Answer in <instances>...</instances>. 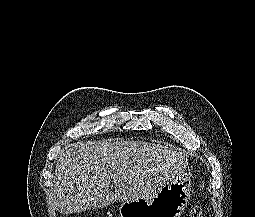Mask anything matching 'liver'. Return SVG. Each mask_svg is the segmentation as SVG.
Here are the masks:
<instances>
[{"instance_id": "obj_1", "label": "liver", "mask_w": 255, "mask_h": 217, "mask_svg": "<svg viewBox=\"0 0 255 217\" xmlns=\"http://www.w3.org/2000/svg\"><path fill=\"white\" fill-rule=\"evenodd\" d=\"M188 165L172 146L136 141H79L55 167L53 203L61 214L102 208L155 194ZM111 180L115 193L109 190Z\"/></svg>"}]
</instances>
